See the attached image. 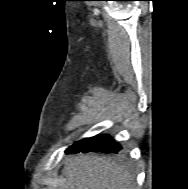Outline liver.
I'll use <instances>...</instances> for the list:
<instances>
[{
  "label": "liver",
  "instance_id": "obj_1",
  "mask_svg": "<svg viewBox=\"0 0 188 189\" xmlns=\"http://www.w3.org/2000/svg\"><path fill=\"white\" fill-rule=\"evenodd\" d=\"M62 189H137L134 176L111 159L79 155L67 160Z\"/></svg>",
  "mask_w": 188,
  "mask_h": 189
}]
</instances>
